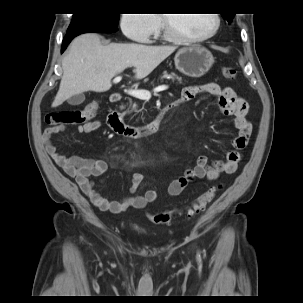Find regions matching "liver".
<instances>
[{"mask_svg": "<svg viewBox=\"0 0 303 303\" xmlns=\"http://www.w3.org/2000/svg\"><path fill=\"white\" fill-rule=\"evenodd\" d=\"M174 46H150L136 43L104 45L97 34H83L74 39L63 58V76L52 107L86 91L105 92L111 79L127 67H135V78L148 76L175 51Z\"/></svg>", "mask_w": 303, "mask_h": 303, "instance_id": "obj_1", "label": "liver"}]
</instances>
